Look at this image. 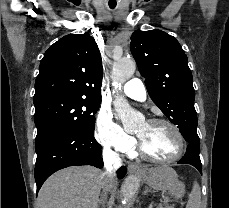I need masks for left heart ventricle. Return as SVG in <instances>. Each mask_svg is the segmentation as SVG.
Returning <instances> with one entry per match:
<instances>
[{
  "mask_svg": "<svg viewBox=\"0 0 229 208\" xmlns=\"http://www.w3.org/2000/svg\"><path fill=\"white\" fill-rule=\"evenodd\" d=\"M170 130L174 129L163 124L143 122L137 127L135 133L145 141V151L150 152V157H158L159 160H170L171 157L176 156L183 149V147H176V143L173 142V135H170Z\"/></svg>",
  "mask_w": 229,
  "mask_h": 208,
  "instance_id": "left-heart-ventricle-1",
  "label": "left heart ventricle"
}]
</instances>
